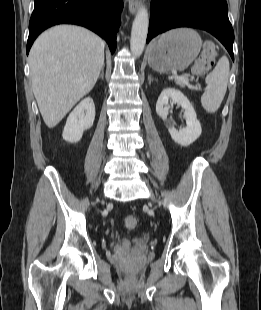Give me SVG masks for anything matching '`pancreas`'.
<instances>
[{
  "instance_id": "pancreas-1",
  "label": "pancreas",
  "mask_w": 261,
  "mask_h": 310,
  "mask_svg": "<svg viewBox=\"0 0 261 310\" xmlns=\"http://www.w3.org/2000/svg\"><path fill=\"white\" fill-rule=\"evenodd\" d=\"M189 82V78L186 75L178 76L175 78V83L181 87H185Z\"/></svg>"
}]
</instances>
